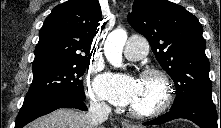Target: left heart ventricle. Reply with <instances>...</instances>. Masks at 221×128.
Listing matches in <instances>:
<instances>
[{
	"mask_svg": "<svg viewBox=\"0 0 221 128\" xmlns=\"http://www.w3.org/2000/svg\"><path fill=\"white\" fill-rule=\"evenodd\" d=\"M159 92L158 84L153 80H142L139 92L132 103L131 107L138 109L149 108Z\"/></svg>",
	"mask_w": 221,
	"mask_h": 128,
	"instance_id": "1",
	"label": "left heart ventricle"
}]
</instances>
